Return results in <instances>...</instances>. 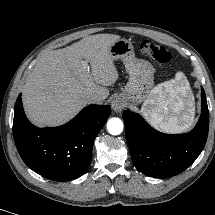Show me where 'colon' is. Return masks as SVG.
<instances>
[{
	"label": "colon",
	"mask_w": 215,
	"mask_h": 215,
	"mask_svg": "<svg viewBox=\"0 0 215 215\" xmlns=\"http://www.w3.org/2000/svg\"><path fill=\"white\" fill-rule=\"evenodd\" d=\"M139 49L143 54L160 64H165L171 59V53L168 49L147 40L139 43Z\"/></svg>",
	"instance_id": "obj_1"
}]
</instances>
